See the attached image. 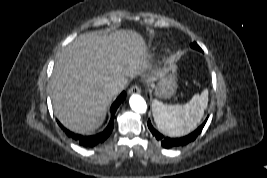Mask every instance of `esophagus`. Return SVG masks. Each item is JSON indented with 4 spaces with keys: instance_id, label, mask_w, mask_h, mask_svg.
<instances>
[{
    "instance_id": "34e87169",
    "label": "esophagus",
    "mask_w": 267,
    "mask_h": 178,
    "mask_svg": "<svg viewBox=\"0 0 267 178\" xmlns=\"http://www.w3.org/2000/svg\"><path fill=\"white\" fill-rule=\"evenodd\" d=\"M141 92V89L139 86L137 85H133L131 86L129 89H128V94L131 95V94H138Z\"/></svg>"
}]
</instances>
